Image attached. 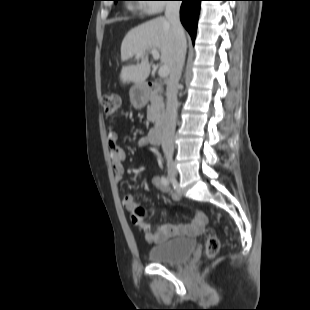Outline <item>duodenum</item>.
<instances>
[{
  "instance_id": "410a0bca",
  "label": "duodenum",
  "mask_w": 310,
  "mask_h": 310,
  "mask_svg": "<svg viewBox=\"0 0 310 310\" xmlns=\"http://www.w3.org/2000/svg\"><path fill=\"white\" fill-rule=\"evenodd\" d=\"M145 90L149 94H157L161 92V86L154 81H147L145 83ZM163 122H160L149 132V140L152 145H159L163 135Z\"/></svg>"
}]
</instances>
